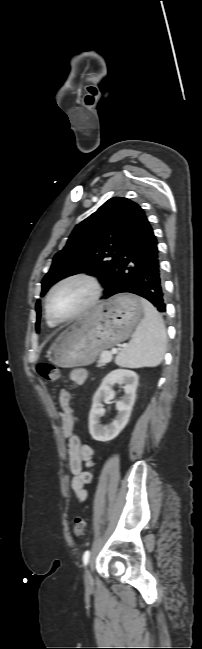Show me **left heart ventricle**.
Listing matches in <instances>:
<instances>
[{
  "mask_svg": "<svg viewBox=\"0 0 202 649\" xmlns=\"http://www.w3.org/2000/svg\"><path fill=\"white\" fill-rule=\"evenodd\" d=\"M92 289L82 280H73L61 285L52 295L49 307L59 318H65L85 305L90 299Z\"/></svg>",
  "mask_w": 202,
  "mask_h": 649,
  "instance_id": "obj_1",
  "label": "left heart ventricle"
}]
</instances>
